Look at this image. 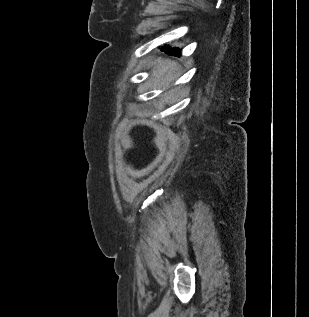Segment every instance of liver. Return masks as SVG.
Wrapping results in <instances>:
<instances>
[{
    "instance_id": "6515ba94",
    "label": "liver",
    "mask_w": 309,
    "mask_h": 317,
    "mask_svg": "<svg viewBox=\"0 0 309 317\" xmlns=\"http://www.w3.org/2000/svg\"><path fill=\"white\" fill-rule=\"evenodd\" d=\"M166 71H167V67H165V66H162V68L161 69H159V74L160 75H162V74H164V73H166Z\"/></svg>"
}]
</instances>
